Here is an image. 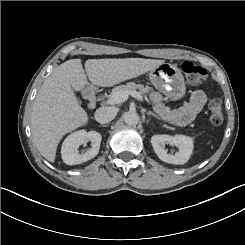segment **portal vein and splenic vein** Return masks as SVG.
<instances>
[{
  "mask_svg": "<svg viewBox=\"0 0 245 245\" xmlns=\"http://www.w3.org/2000/svg\"><path fill=\"white\" fill-rule=\"evenodd\" d=\"M129 95L132 97L141 99V95L136 91V90H131V91H118L113 94L111 97V102L112 103H119V102H124L128 99Z\"/></svg>",
  "mask_w": 245,
  "mask_h": 245,
  "instance_id": "1",
  "label": "portal vein and splenic vein"
}]
</instances>
